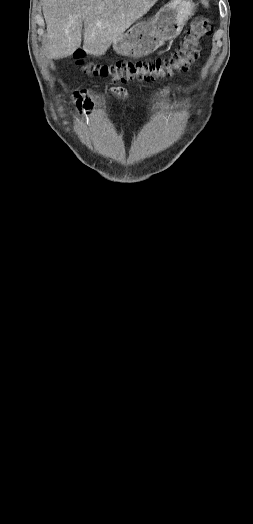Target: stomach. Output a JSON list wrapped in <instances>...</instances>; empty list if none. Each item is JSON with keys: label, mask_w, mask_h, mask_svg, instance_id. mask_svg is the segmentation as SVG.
<instances>
[{"label": "stomach", "mask_w": 253, "mask_h": 524, "mask_svg": "<svg viewBox=\"0 0 253 524\" xmlns=\"http://www.w3.org/2000/svg\"><path fill=\"white\" fill-rule=\"evenodd\" d=\"M192 0H171L152 21H140L112 42L122 56L140 58L158 49L165 41L175 39L194 11Z\"/></svg>", "instance_id": "obj_1"}]
</instances>
